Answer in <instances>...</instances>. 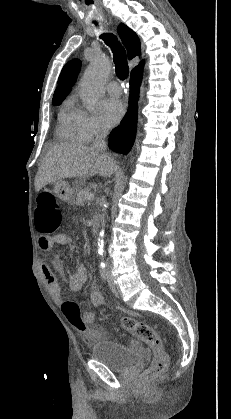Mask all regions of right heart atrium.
I'll use <instances>...</instances> for the list:
<instances>
[{
    "label": "right heart atrium",
    "mask_w": 231,
    "mask_h": 419,
    "mask_svg": "<svg viewBox=\"0 0 231 419\" xmlns=\"http://www.w3.org/2000/svg\"><path fill=\"white\" fill-rule=\"evenodd\" d=\"M107 131L106 125L102 120L94 114L83 113L82 116V132L87 141L96 136H101Z\"/></svg>",
    "instance_id": "obj_1"
}]
</instances>
